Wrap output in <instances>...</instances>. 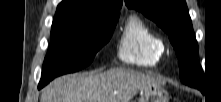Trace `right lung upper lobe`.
Wrapping results in <instances>:
<instances>
[{
  "label": "right lung upper lobe",
  "instance_id": "1",
  "mask_svg": "<svg viewBox=\"0 0 221 102\" xmlns=\"http://www.w3.org/2000/svg\"><path fill=\"white\" fill-rule=\"evenodd\" d=\"M123 0H63L56 15H109L120 13Z\"/></svg>",
  "mask_w": 221,
  "mask_h": 102
}]
</instances>
